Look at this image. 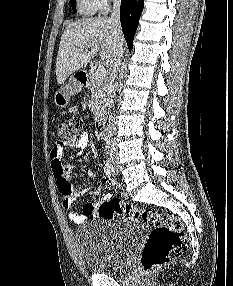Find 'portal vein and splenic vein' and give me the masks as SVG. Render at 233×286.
Returning a JSON list of instances; mask_svg holds the SVG:
<instances>
[{
	"label": "portal vein and splenic vein",
	"mask_w": 233,
	"mask_h": 286,
	"mask_svg": "<svg viewBox=\"0 0 233 286\" xmlns=\"http://www.w3.org/2000/svg\"><path fill=\"white\" fill-rule=\"evenodd\" d=\"M84 49V47H82ZM95 76L97 78H103L106 76V69L103 65H98L95 69Z\"/></svg>",
	"instance_id": "1"
}]
</instances>
